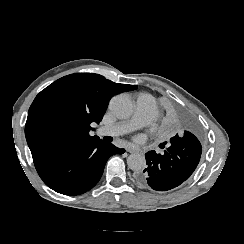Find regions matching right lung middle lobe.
<instances>
[{
  "instance_id": "1",
  "label": "right lung middle lobe",
  "mask_w": 244,
  "mask_h": 244,
  "mask_svg": "<svg viewBox=\"0 0 244 244\" xmlns=\"http://www.w3.org/2000/svg\"><path fill=\"white\" fill-rule=\"evenodd\" d=\"M58 124H59V121L57 119H49L47 121V125L49 127H56V126H58Z\"/></svg>"
}]
</instances>
